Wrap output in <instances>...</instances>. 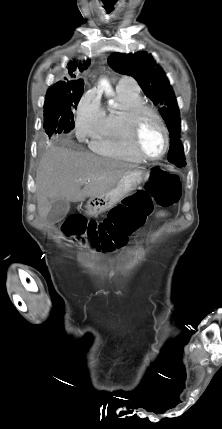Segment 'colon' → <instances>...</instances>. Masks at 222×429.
<instances>
[{
    "mask_svg": "<svg viewBox=\"0 0 222 429\" xmlns=\"http://www.w3.org/2000/svg\"><path fill=\"white\" fill-rule=\"evenodd\" d=\"M180 197L178 177L152 167L146 187L111 209L104 220L88 221L80 215H73L65 220L63 230L69 235L87 237L98 249L113 250L123 246L128 237L143 226L154 204L171 207L179 202Z\"/></svg>",
    "mask_w": 222,
    "mask_h": 429,
    "instance_id": "1",
    "label": "colon"
}]
</instances>
